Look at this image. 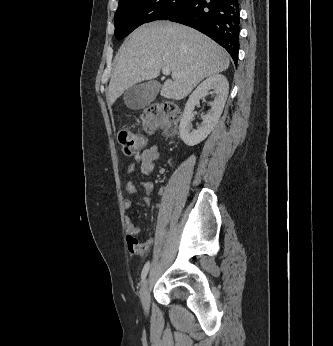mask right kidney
I'll use <instances>...</instances> for the list:
<instances>
[{
	"label": "right kidney",
	"instance_id": "right-kidney-1",
	"mask_svg": "<svg viewBox=\"0 0 333 346\" xmlns=\"http://www.w3.org/2000/svg\"><path fill=\"white\" fill-rule=\"evenodd\" d=\"M213 90L214 100L209 102L211 109L202 116V124L193 129L191 121L193 120V111L200 99L206 97L208 92ZM229 92V83L224 75L214 74L205 79L190 95L180 121L179 134L183 142L188 146H194L203 141L216 126Z\"/></svg>",
	"mask_w": 333,
	"mask_h": 346
}]
</instances>
